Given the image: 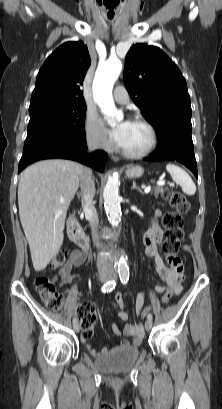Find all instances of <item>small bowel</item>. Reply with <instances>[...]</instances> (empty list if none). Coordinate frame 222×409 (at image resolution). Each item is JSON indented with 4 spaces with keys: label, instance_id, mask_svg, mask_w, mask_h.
I'll use <instances>...</instances> for the list:
<instances>
[{
    "label": "small bowel",
    "instance_id": "obj_1",
    "mask_svg": "<svg viewBox=\"0 0 222 409\" xmlns=\"http://www.w3.org/2000/svg\"><path fill=\"white\" fill-rule=\"evenodd\" d=\"M160 215L161 212L156 210L155 216L159 217ZM162 238L163 231L156 224H152L144 235L145 254L146 256L153 258L156 271L166 284V286L158 285L154 290L157 293H162L166 288H168L174 295H177L182 291V281L184 279L183 257L169 256L168 264L170 266L166 265L158 251V244L161 242ZM86 257L87 255L81 251H73L66 265L61 268L58 274L54 277V281L58 282L61 286L77 281L78 278L71 274V270L73 267L81 265L85 261ZM145 299L146 293L144 292L139 293L135 298V310L138 315H140L145 309ZM112 305L118 311L119 319L127 322L129 315L125 311L124 298L120 293L115 294ZM112 331L117 336L123 334L124 336L130 338L129 340H122L120 342L121 347L140 344L144 334L142 324L132 323H127L123 331H121L116 324H113ZM89 352L94 357L102 356L106 355L109 352V349L104 347L100 351H97L96 349L89 347Z\"/></svg>",
    "mask_w": 222,
    "mask_h": 409
}]
</instances>
